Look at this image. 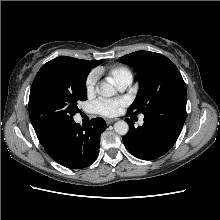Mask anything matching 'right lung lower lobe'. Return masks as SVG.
Returning a JSON list of instances; mask_svg holds the SVG:
<instances>
[{
	"label": "right lung lower lobe",
	"mask_w": 220,
	"mask_h": 220,
	"mask_svg": "<svg viewBox=\"0 0 220 220\" xmlns=\"http://www.w3.org/2000/svg\"><path fill=\"white\" fill-rule=\"evenodd\" d=\"M105 129L106 123L101 117L92 119L87 126L82 127L73 120L39 142L49 156L60 165L81 169L96 160L100 136Z\"/></svg>",
	"instance_id": "98d812e1"
}]
</instances>
